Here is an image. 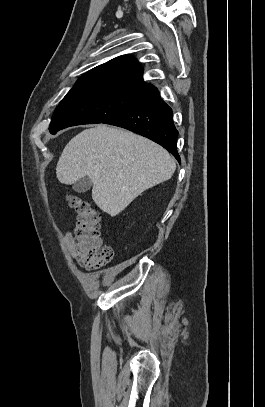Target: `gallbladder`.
<instances>
[{"label":"gallbladder","instance_id":"1","mask_svg":"<svg viewBox=\"0 0 265 407\" xmlns=\"http://www.w3.org/2000/svg\"><path fill=\"white\" fill-rule=\"evenodd\" d=\"M92 186V182L88 177H83L76 181L73 185L74 191L77 193L87 192Z\"/></svg>","mask_w":265,"mask_h":407}]
</instances>
